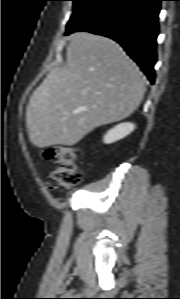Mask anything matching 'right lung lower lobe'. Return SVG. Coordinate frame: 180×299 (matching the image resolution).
I'll list each match as a JSON object with an SVG mask.
<instances>
[{
    "instance_id": "right-lung-lower-lobe-1",
    "label": "right lung lower lobe",
    "mask_w": 180,
    "mask_h": 299,
    "mask_svg": "<svg viewBox=\"0 0 180 299\" xmlns=\"http://www.w3.org/2000/svg\"><path fill=\"white\" fill-rule=\"evenodd\" d=\"M161 1L163 0H104L67 27L66 35L87 31L115 40L153 84Z\"/></svg>"
}]
</instances>
